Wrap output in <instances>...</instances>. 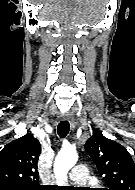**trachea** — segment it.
<instances>
[{
    "label": "trachea",
    "instance_id": "trachea-1",
    "mask_svg": "<svg viewBox=\"0 0 135 190\" xmlns=\"http://www.w3.org/2000/svg\"><path fill=\"white\" fill-rule=\"evenodd\" d=\"M70 129V125L68 121H61L58 125L57 131L60 138H64L67 136Z\"/></svg>",
    "mask_w": 135,
    "mask_h": 190
}]
</instances>
